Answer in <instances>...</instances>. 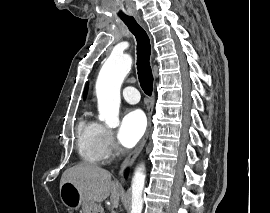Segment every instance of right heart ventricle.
Segmentation results:
<instances>
[{"label":"right heart ventricle","instance_id":"right-heart-ventricle-1","mask_svg":"<svg viewBox=\"0 0 270 213\" xmlns=\"http://www.w3.org/2000/svg\"><path fill=\"white\" fill-rule=\"evenodd\" d=\"M77 151L81 159L90 163H103L109 157L105 142V127L86 111L77 126Z\"/></svg>","mask_w":270,"mask_h":213}]
</instances>
